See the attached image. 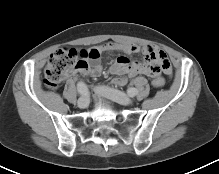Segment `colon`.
<instances>
[{"mask_svg": "<svg viewBox=\"0 0 219 174\" xmlns=\"http://www.w3.org/2000/svg\"><path fill=\"white\" fill-rule=\"evenodd\" d=\"M99 53L91 50L86 54L78 53L73 49H58L53 52L44 71V83L49 89H56L65 77L74 69H77L83 57H97ZM153 87L161 89L165 80L158 77L152 82Z\"/></svg>", "mask_w": 219, "mask_h": 174, "instance_id": "1", "label": "colon"}]
</instances>
